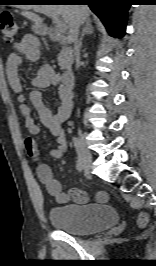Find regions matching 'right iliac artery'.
<instances>
[{"label":"right iliac artery","mask_w":156,"mask_h":266,"mask_svg":"<svg viewBox=\"0 0 156 266\" xmlns=\"http://www.w3.org/2000/svg\"><path fill=\"white\" fill-rule=\"evenodd\" d=\"M73 143L74 146L76 148L77 151V163H76V169L81 172L84 168L83 162L81 160V156H80V143H79V139L77 137H73Z\"/></svg>","instance_id":"82829eb1"}]
</instances>
